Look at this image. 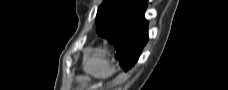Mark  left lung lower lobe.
<instances>
[{"mask_svg": "<svg viewBox=\"0 0 228 90\" xmlns=\"http://www.w3.org/2000/svg\"><path fill=\"white\" fill-rule=\"evenodd\" d=\"M133 2L137 6L136 10L121 12L117 23L100 34L115 45V58L124 71L137 62L148 41L147 21L144 18L147 0Z\"/></svg>", "mask_w": 228, "mask_h": 90, "instance_id": "1", "label": "left lung lower lobe"}]
</instances>
